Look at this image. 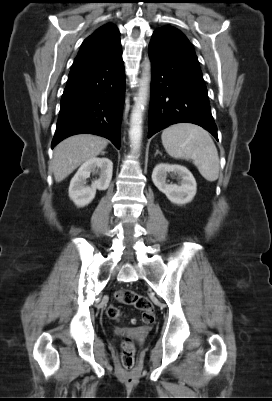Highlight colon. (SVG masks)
<instances>
[{
	"mask_svg": "<svg viewBox=\"0 0 272 401\" xmlns=\"http://www.w3.org/2000/svg\"><path fill=\"white\" fill-rule=\"evenodd\" d=\"M115 299L125 305L134 306L142 312L141 321L144 324H151L155 320V311L149 299L130 289H122L115 293ZM111 319L118 320L121 318L120 310L111 306L107 310ZM120 358L122 366L125 370L130 371L135 363V345L129 336H124L121 340Z\"/></svg>",
	"mask_w": 272,
	"mask_h": 401,
	"instance_id": "5ec220e1",
	"label": "colon"
}]
</instances>
